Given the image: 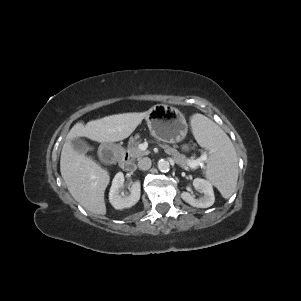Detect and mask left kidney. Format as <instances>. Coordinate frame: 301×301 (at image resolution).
Here are the masks:
<instances>
[{"label": "left kidney", "mask_w": 301, "mask_h": 301, "mask_svg": "<svg viewBox=\"0 0 301 301\" xmlns=\"http://www.w3.org/2000/svg\"><path fill=\"white\" fill-rule=\"evenodd\" d=\"M193 186L197 191L203 193V196L195 198V195L188 192H182L181 198L185 202L197 208H208L214 204L215 197L211 182L205 179L196 178L193 181Z\"/></svg>", "instance_id": "obj_1"}]
</instances>
